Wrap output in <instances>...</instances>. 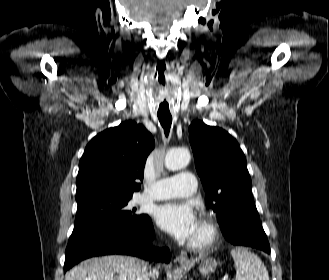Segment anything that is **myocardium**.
<instances>
[{"mask_svg": "<svg viewBox=\"0 0 329 280\" xmlns=\"http://www.w3.org/2000/svg\"><path fill=\"white\" fill-rule=\"evenodd\" d=\"M200 228L202 231V236L196 241H191L189 243V248L194 251H204L209 249L218 238V230L212 221L207 218L201 219Z\"/></svg>", "mask_w": 329, "mask_h": 280, "instance_id": "f54148a6", "label": "myocardium"}]
</instances>
